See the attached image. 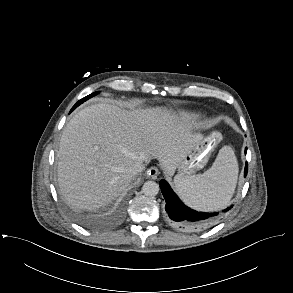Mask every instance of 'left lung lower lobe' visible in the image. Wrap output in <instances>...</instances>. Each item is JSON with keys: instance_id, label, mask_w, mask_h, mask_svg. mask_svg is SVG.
Instances as JSON below:
<instances>
[{"instance_id": "1", "label": "left lung lower lobe", "mask_w": 293, "mask_h": 293, "mask_svg": "<svg viewBox=\"0 0 293 293\" xmlns=\"http://www.w3.org/2000/svg\"><path fill=\"white\" fill-rule=\"evenodd\" d=\"M246 151L247 149H245V153ZM247 171L248 164L246 163L245 176ZM159 184L166 202L165 210L168 221L173 227L184 231H198L216 222L217 218L214 217L218 213H202L192 210L183 204L165 180H161ZM230 208L225 209L223 212H227Z\"/></svg>"}]
</instances>
